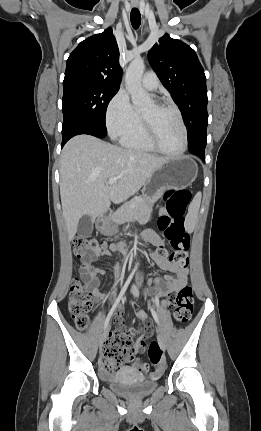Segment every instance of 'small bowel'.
Returning <instances> with one entry per match:
<instances>
[{"label":"small bowel","mask_w":261,"mask_h":431,"mask_svg":"<svg viewBox=\"0 0 261 431\" xmlns=\"http://www.w3.org/2000/svg\"><path fill=\"white\" fill-rule=\"evenodd\" d=\"M143 241H148L154 245L159 246L160 248L165 249V243L162 237L153 230L146 231L142 236ZM105 253L104 249H99L95 252L96 256L102 255ZM151 259L156 263V265L163 271H168L173 274V276H166L164 279L162 278H154L149 280V289L148 293L150 295L155 296H170L172 293L179 291L188 281V269L186 267L177 266L172 263L167 257H161L156 252L150 255ZM106 271L101 268H94L90 265L86 267H81L80 274L82 278L90 285L91 294L94 297L95 301L100 303L102 301H107L110 299V296L102 292L99 287L100 276L104 275ZM140 276H138V280H140ZM162 305L165 307L169 306L167 299L162 301ZM115 316L118 319H121L124 316V313L121 310H118L115 313ZM138 318L140 321L144 322L146 320V315L143 312L138 313ZM121 321H119V326L121 325ZM124 333L128 336L137 335V340L133 346V357L129 362L131 363L133 360H139L135 358L136 353H141L144 351L146 347V338L149 336L150 331L148 326L144 325L140 328H126L124 329ZM103 357V355H102ZM142 362V361H141ZM143 364V362H142ZM146 374V373H141Z\"/></svg>","instance_id":"1"}]
</instances>
